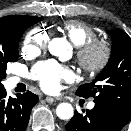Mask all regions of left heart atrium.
<instances>
[{"label":"left heart atrium","instance_id":"left-heart-atrium-1","mask_svg":"<svg viewBox=\"0 0 131 131\" xmlns=\"http://www.w3.org/2000/svg\"><path fill=\"white\" fill-rule=\"evenodd\" d=\"M33 76L38 80L43 90L53 92L57 90L63 80H70L72 72L54 61L40 62L33 68Z\"/></svg>","mask_w":131,"mask_h":131}]
</instances>
